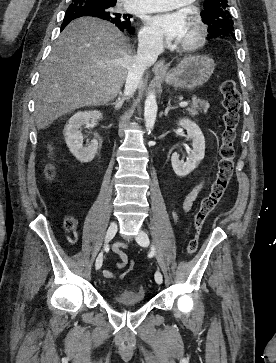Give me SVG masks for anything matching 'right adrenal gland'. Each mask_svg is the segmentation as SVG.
<instances>
[{
  "label": "right adrenal gland",
  "mask_w": 276,
  "mask_h": 363,
  "mask_svg": "<svg viewBox=\"0 0 276 363\" xmlns=\"http://www.w3.org/2000/svg\"><path fill=\"white\" fill-rule=\"evenodd\" d=\"M119 94H120V96L118 97L116 102L107 104V105H113L115 110L121 109L123 102H124V97H123L122 93L119 92Z\"/></svg>",
  "instance_id": "1"
}]
</instances>
